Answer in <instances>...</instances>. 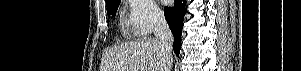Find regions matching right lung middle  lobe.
<instances>
[{
	"label": "right lung middle lobe",
	"instance_id": "1",
	"mask_svg": "<svg viewBox=\"0 0 301 71\" xmlns=\"http://www.w3.org/2000/svg\"><path fill=\"white\" fill-rule=\"evenodd\" d=\"M119 3L120 0H113L109 3H106L108 15L115 16Z\"/></svg>",
	"mask_w": 301,
	"mask_h": 71
}]
</instances>
